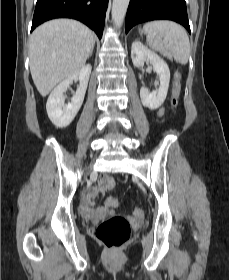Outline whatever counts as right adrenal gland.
Wrapping results in <instances>:
<instances>
[{"mask_svg":"<svg viewBox=\"0 0 229 280\" xmlns=\"http://www.w3.org/2000/svg\"><path fill=\"white\" fill-rule=\"evenodd\" d=\"M93 49H94V46L92 47V49H91V51H90V53H89V57H91V56H92Z\"/></svg>","mask_w":229,"mask_h":280,"instance_id":"obj_1","label":"right adrenal gland"}]
</instances>
